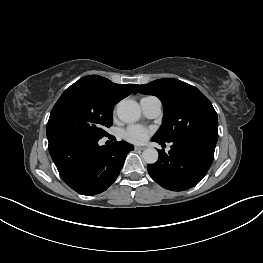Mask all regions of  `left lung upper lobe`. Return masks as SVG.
<instances>
[{"label":"left lung upper lobe","instance_id":"left-lung-upper-lobe-1","mask_svg":"<svg viewBox=\"0 0 263 263\" xmlns=\"http://www.w3.org/2000/svg\"><path fill=\"white\" fill-rule=\"evenodd\" d=\"M136 92L157 96L164 106L163 125L153 139L161 142L183 139L217 142L216 111L196 87L164 78L140 85Z\"/></svg>","mask_w":263,"mask_h":263}]
</instances>
